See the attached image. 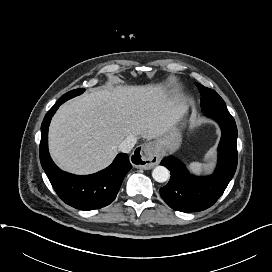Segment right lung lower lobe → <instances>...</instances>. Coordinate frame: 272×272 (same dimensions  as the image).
Segmentation results:
<instances>
[{"label":"right lung lower lobe","mask_w":272,"mask_h":272,"mask_svg":"<svg viewBox=\"0 0 272 272\" xmlns=\"http://www.w3.org/2000/svg\"><path fill=\"white\" fill-rule=\"evenodd\" d=\"M61 104L57 102L47 112L41 125V165L55 192L66 204L80 210L105 207L116 198L125 175L132 168L128 155L118 154L110 166L91 175L78 176L60 170L49 155L48 128Z\"/></svg>","instance_id":"obj_1"}]
</instances>
